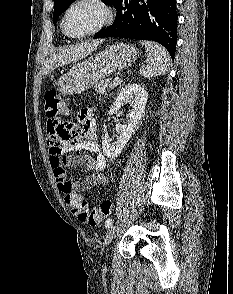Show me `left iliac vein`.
<instances>
[{"label": "left iliac vein", "instance_id": "1", "mask_svg": "<svg viewBox=\"0 0 233 294\" xmlns=\"http://www.w3.org/2000/svg\"><path fill=\"white\" fill-rule=\"evenodd\" d=\"M115 231H116V227L115 226H111L107 233H106V236H105V241H104V246L107 248L112 240H113V237H114V234H115ZM107 257H108V254H107Z\"/></svg>", "mask_w": 233, "mask_h": 294}]
</instances>
